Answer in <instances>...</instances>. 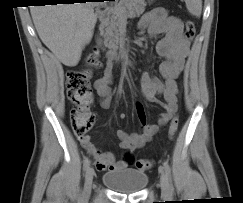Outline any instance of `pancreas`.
Here are the masks:
<instances>
[{
	"label": "pancreas",
	"instance_id": "obj_1",
	"mask_svg": "<svg viewBox=\"0 0 243 203\" xmlns=\"http://www.w3.org/2000/svg\"><path fill=\"white\" fill-rule=\"evenodd\" d=\"M115 8L109 11V16L101 26L105 46L109 49L118 50L120 44V25L126 19L125 16L139 17L146 7L144 0H121Z\"/></svg>",
	"mask_w": 243,
	"mask_h": 203
}]
</instances>
